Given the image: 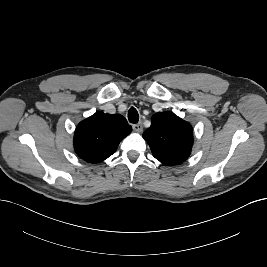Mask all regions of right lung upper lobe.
Returning a JSON list of instances; mask_svg holds the SVG:
<instances>
[{"label":"right lung upper lobe","instance_id":"obj_1","mask_svg":"<svg viewBox=\"0 0 267 267\" xmlns=\"http://www.w3.org/2000/svg\"><path fill=\"white\" fill-rule=\"evenodd\" d=\"M131 131L132 127L124 116L96 112L77 125L74 134L75 152L89 163L104 161L114 154L120 141Z\"/></svg>","mask_w":267,"mask_h":267}]
</instances>
